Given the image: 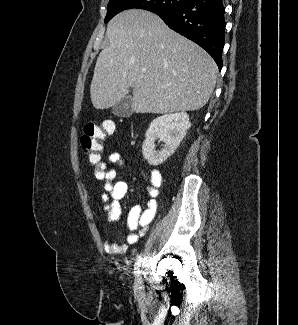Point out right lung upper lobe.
<instances>
[{
	"mask_svg": "<svg viewBox=\"0 0 298 325\" xmlns=\"http://www.w3.org/2000/svg\"><path fill=\"white\" fill-rule=\"evenodd\" d=\"M110 1H112V0H110ZM110 1H109V2H110ZM156 12L159 13V12H161V10H158V11H156ZM154 13H155V12H154Z\"/></svg>",
	"mask_w": 298,
	"mask_h": 325,
	"instance_id": "1",
	"label": "right lung upper lobe"
}]
</instances>
